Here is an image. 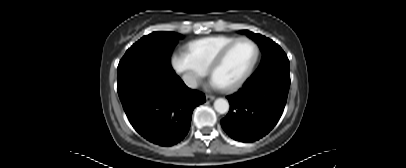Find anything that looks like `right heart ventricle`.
Returning a JSON list of instances; mask_svg holds the SVG:
<instances>
[{
  "instance_id": "e07e8e85",
  "label": "right heart ventricle",
  "mask_w": 406,
  "mask_h": 168,
  "mask_svg": "<svg viewBox=\"0 0 406 168\" xmlns=\"http://www.w3.org/2000/svg\"><path fill=\"white\" fill-rule=\"evenodd\" d=\"M235 37L210 36L190 41L186 44V52L202 69L207 70L217 53L232 42Z\"/></svg>"
}]
</instances>
